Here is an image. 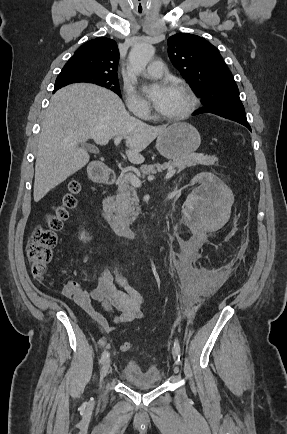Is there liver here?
<instances>
[{"label":"liver","mask_w":287,"mask_h":434,"mask_svg":"<svg viewBox=\"0 0 287 434\" xmlns=\"http://www.w3.org/2000/svg\"><path fill=\"white\" fill-rule=\"evenodd\" d=\"M132 117L112 91L89 84H73L57 91L45 111L35 164L34 201L83 168L90 160L80 147L88 139L106 145L113 137L125 139L131 163L165 129Z\"/></svg>","instance_id":"1"}]
</instances>
